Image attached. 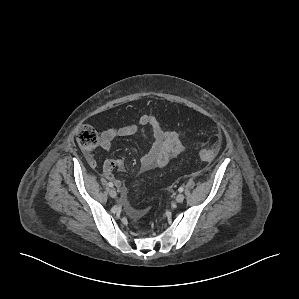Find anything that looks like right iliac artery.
<instances>
[{"label": "right iliac artery", "instance_id": "right-iliac-artery-1", "mask_svg": "<svg viewBox=\"0 0 299 299\" xmlns=\"http://www.w3.org/2000/svg\"><path fill=\"white\" fill-rule=\"evenodd\" d=\"M108 186H109V187H113V183H112V182H109V183H108Z\"/></svg>", "mask_w": 299, "mask_h": 299}]
</instances>
